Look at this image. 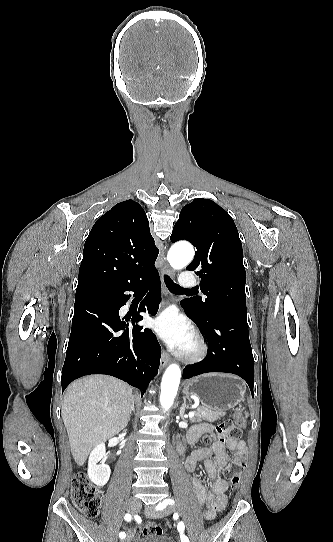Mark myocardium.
Here are the masks:
<instances>
[{
  "instance_id": "myocardium-1",
  "label": "myocardium",
  "mask_w": 333,
  "mask_h": 542,
  "mask_svg": "<svg viewBox=\"0 0 333 542\" xmlns=\"http://www.w3.org/2000/svg\"><path fill=\"white\" fill-rule=\"evenodd\" d=\"M208 352L207 345L202 335L198 332L194 333L192 338V346L189 350H183L176 354L177 358L187 363H197L203 360Z\"/></svg>"
}]
</instances>
